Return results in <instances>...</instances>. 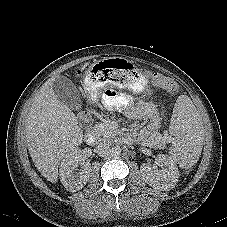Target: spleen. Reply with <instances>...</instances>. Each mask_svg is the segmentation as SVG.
Returning a JSON list of instances; mask_svg holds the SVG:
<instances>
[{
	"mask_svg": "<svg viewBox=\"0 0 227 227\" xmlns=\"http://www.w3.org/2000/svg\"><path fill=\"white\" fill-rule=\"evenodd\" d=\"M186 103L187 110L172 118V130L177 134L172 157L180 167L189 169L199 157L204 132L191 102Z\"/></svg>",
	"mask_w": 227,
	"mask_h": 227,
	"instance_id": "1",
	"label": "spleen"
}]
</instances>
